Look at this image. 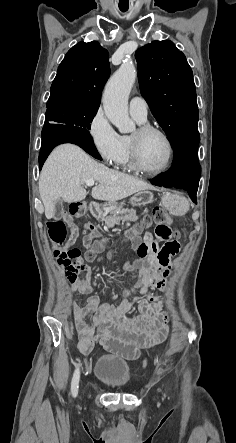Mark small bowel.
Returning <instances> with one entry per match:
<instances>
[{"instance_id":"small-bowel-1","label":"small bowel","mask_w":236,"mask_h":443,"mask_svg":"<svg viewBox=\"0 0 236 443\" xmlns=\"http://www.w3.org/2000/svg\"><path fill=\"white\" fill-rule=\"evenodd\" d=\"M93 237V231L89 230L86 238L91 241ZM132 239L137 251L139 252L141 246H146L148 255L142 258L139 267L126 265L128 271L134 272L137 281L131 289L123 291V298L117 305L104 304L98 307L99 299L93 295L95 286L90 281L85 264L72 267L59 261L70 292L89 295L85 307L71 304L77 348L83 354L90 353L95 344L99 343L125 358H133L138 355L140 349L159 344L168 335V315L164 311L162 300L151 294L149 288H166L167 277L172 268L171 256L177 253L178 249L170 253L165 248L168 244L166 241L158 248L156 242L164 240L157 235L154 239L150 233H146L142 239L138 236H133ZM90 246L95 252H99L104 244L96 242ZM83 272L86 273L85 277H81ZM134 306L138 307L141 315L128 318L127 313ZM92 311H95L92 321L84 320Z\"/></svg>"}]
</instances>
